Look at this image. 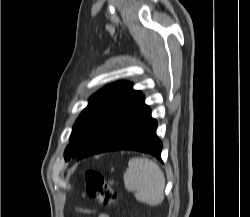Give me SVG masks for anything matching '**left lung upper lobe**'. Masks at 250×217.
<instances>
[{"label": "left lung upper lobe", "mask_w": 250, "mask_h": 217, "mask_svg": "<svg viewBox=\"0 0 250 217\" xmlns=\"http://www.w3.org/2000/svg\"><path fill=\"white\" fill-rule=\"evenodd\" d=\"M134 92L130 82L120 81L95 93L73 126L65 160L77 157Z\"/></svg>", "instance_id": "1"}]
</instances>
